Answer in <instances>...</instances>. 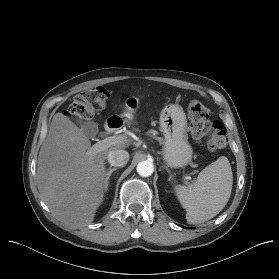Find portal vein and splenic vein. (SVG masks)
<instances>
[{
    "instance_id": "18ae733b",
    "label": "portal vein and splenic vein",
    "mask_w": 279,
    "mask_h": 279,
    "mask_svg": "<svg viewBox=\"0 0 279 279\" xmlns=\"http://www.w3.org/2000/svg\"><path fill=\"white\" fill-rule=\"evenodd\" d=\"M127 141V137L125 135H118V136H110L103 140H100L96 144H94L88 151L90 155L102 151L106 148H109L113 145L122 144Z\"/></svg>"
}]
</instances>
